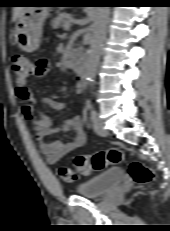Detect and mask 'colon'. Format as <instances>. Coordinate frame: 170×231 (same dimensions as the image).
<instances>
[{
    "label": "colon",
    "mask_w": 170,
    "mask_h": 231,
    "mask_svg": "<svg viewBox=\"0 0 170 231\" xmlns=\"http://www.w3.org/2000/svg\"><path fill=\"white\" fill-rule=\"evenodd\" d=\"M12 71L14 73L17 86L26 85L28 80L35 76V63L23 54H16L11 61ZM124 153L122 150L111 147L105 151L97 152L93 155H79L74 159L75 170L69 167H60L59 176L66 182H73L77 178V173L88 175L93 171H99L108 165H116L122 162ZM128 172L134 182L145 184L153 177L150 168L139 161H133L129 164Z\"/></svg>",
    "instance_id": "obj_1"
}]
</instances>
